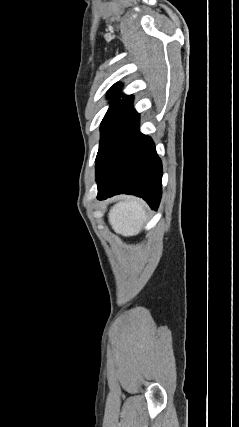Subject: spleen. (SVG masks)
I'll return each mask as SVG.
<instances>
[{
  "label": "spleen",
  "mask_w": 239,
  "mask_h": 427,
  "mask_svg": "<svg viewBox=\"0 0 239 427\" xmlns=\"http://www.w3.org/2000/svg\"><path fill=\"white\" fill-rule=\"evenodd\" d=\"M112 229L123 236L138 234L147 219L145 205L136 198H128L114 205L109 214Z\"/></svg>",
  "instance_id": "1"
}]
</instances>
